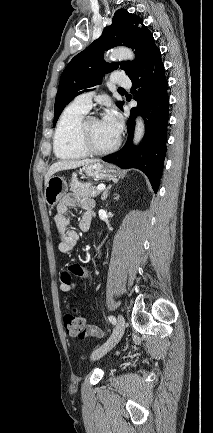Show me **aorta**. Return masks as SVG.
Instances as JSON below:
<instances>
[{
	"mask_svg": "<svg viewBox=\"0 0 213 433\" xmlns=\"http://www.w3.org/2000/svg\"><path fill=\"white\" fill-rule=\"evenodd\" d=\"M109 58L111 60H115V59L133 60L135 56L131 49L126 47H118L111 50ZM144 134H145V124L142 117L138 116L136 118L133 143L135 145H138L139 142L143 139Z\"/></svg>",
	"mask_w": 213,
	"mask_h": 433,
	"instance_id": "obj_1",
	"label": "aorta"
}]
</instances>
